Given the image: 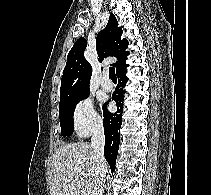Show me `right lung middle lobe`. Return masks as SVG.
Segmentation results:
<instances>
[{"mask_svg":"<svg viewBox=\"0 0 211 195\" xmlns=\"http://www.w3.org/2000/svg\"><path fill=\"white\" fill-rule=\"evenodd\" d=\"M87 97L88 94L73 100L59 103L60 126L63 137L70 136L73 133V115L75 107L81 100Z\"/></svg>","mask_w":211,"mask_h":195,"instance_id":"1","label":"right lung middle lobe"}]
</instances>
